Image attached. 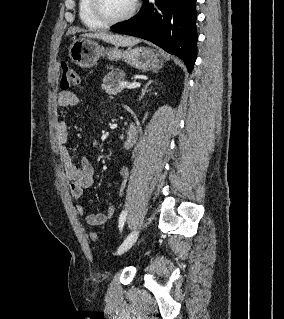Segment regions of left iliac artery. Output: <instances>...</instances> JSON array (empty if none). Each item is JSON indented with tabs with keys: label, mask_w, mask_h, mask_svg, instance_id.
<instances>
[{
	"label": "left iliac artery",
	"mask_w": 284,
	"mask_h": 319,
	"mask_svg": "<svg viewBox=\"0 0 284 319\" xmlns=\"http://www.w3.org/2000/svg\"><path fill=\"white\" fill-rule=\"evenodd\" d=\"M126 216H127V210H123L122 213L120 214V217H119V229H120V231L123 228L124 222L126 220Z\"/></svg>",
	"instance_id": "44dca946"
}]
</instances>
